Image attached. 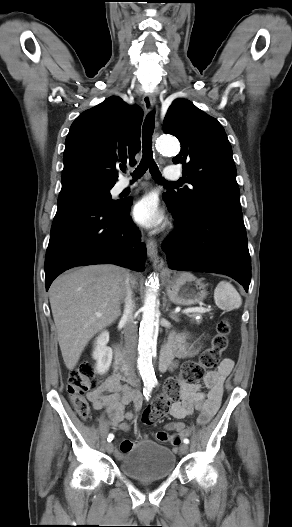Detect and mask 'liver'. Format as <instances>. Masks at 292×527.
Returning <instances> with one entry per match:
<instances>
[{"instance_id":"1","label":"liver","mask_w":292,"mask_h":527,"mask_svg":"<svg viewBox=\"0 0 292 527\" xmlns=\"http://www.w3.org/2000/svg\"><path fill=\"white\" fill-rule=\"evenodd\" d=\"M127 277L119 266L92 265L61 275L50 286L58 342L69 370L75 368L90 339L119 317Z\"/></svg>"}]
</instances>
